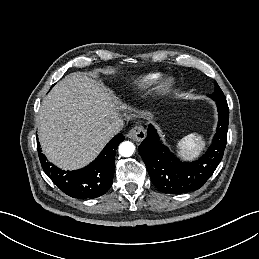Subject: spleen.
Returning a JSON list of instances; mask_svg holds the SVG:
<instances>
[{"instance_id":"obj_1","label":"spleen","mask_w":259,"mask_h":259,"mask_svg":"<svg viewBox=\"0 0 259 259\" xmlns=\"http://www.w3.org/2000/svg\"><path fill=\"white\" fill-rule=\"evenodd\" d=\"M204 146L205 142L202 141V137L191 133L178 141V154L185 159H193L199 155Z\"/></svg>"}]
</instances>
